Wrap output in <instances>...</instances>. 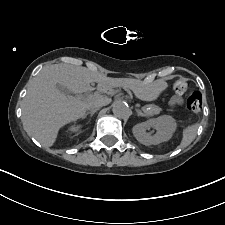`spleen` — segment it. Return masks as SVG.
I'll use <instances>...</instances> for the list:
<instances>
[{
  "instance_id": "spleen-1",
  "label": "spleen",
  "mask_w": 225,
  "mask_h": 225,
  "mask_svg": "<svg viewBox=\"0 0 225 225\" xmlns=\"http://www.w3.org/2000/svg\"><path fill=\"white\" fill-rule=\"evenodd\" d=\"M197 129H198V124H193L190 126H187L183 129V136H182V140L181 143L179 145L180 148H185L188 145L191 144V142L195 139L196 137V133H197Z\"/></svg>"
}]
</instances>
